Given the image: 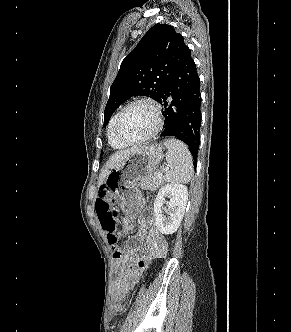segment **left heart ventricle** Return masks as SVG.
I'll list each match as a JSON object with an SVG mask.
<instances>
[{
	"instance_id": "1",
	"label": "left heart ventricle",
	"mask_w": 291,
	"mask_h": 332,
	"mask_svg": "<svg viewBox=\"0 0 291 332\" xmlns=\"http://www.w3.org/2000/svg\"><path fill=\"white\" fill-rule=\"evenodd\" d=\"M155 127L153 110L144 104L134 105L123 115L120 133L128 140H137L148 135Z\"/></svg>"
}]
</instances>
